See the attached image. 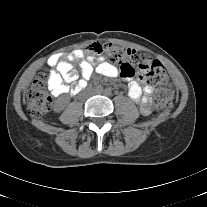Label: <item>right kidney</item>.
<instances>
[{
	"label": "right kidney",
	"mask_w": 207,
	"mask_h": 207,
	"mask_svg": "<svg viewBox=\"0 0 207 207\" xmlns=\"http://www.w3.org/2000/svg\"><path fill=\"white\" fill-rule=\"evenodd\" d=\"M54 111H55V112H60V111H61V108H60L59 106H55V107H54Z\"/></svg>",
	"instance_id": "ca27d5eb"
}]
</instances>
